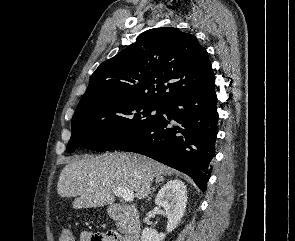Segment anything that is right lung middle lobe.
I'll use <instances>...</instances> for the list:
<instances>
[{
    "mask_svg": "<svg viewBox=\"0 0 295 241\" xmlns=\"http://www.w3.org/2000/svg\"><path fill=\"white\" fill-rule=\"evenodd\" d=\"M162 105L119 96H95L80 100L72 118V136L66 151L79 146L96 151L117 149L155 120Z\"/></svg>",
    "mask_w": 295,
    "mask_h": 241,
    "instance_id": "dd1d6c3e",
    "label": "right lung middle lobe"
}]
</instances>
